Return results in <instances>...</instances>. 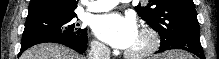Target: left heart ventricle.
<instances>
[{"label":"left heart ventricle","mask_w":219,"mask_h":59,"mask_svg":"<svg viewBox=\"0 0 219 59\" xmlns=\"http://www.w3.org/2000/svg\"><path fill=\"white\" fill-rule=\"evenodd\" d=\"M146 44H147L146 38L138 34V36L136 37V39L134 40V42L131 44V46L128 49L132 51L141 50L142 48L146 46Z\"/></svg>","instance_id":"obj_1"}]
</instances>
